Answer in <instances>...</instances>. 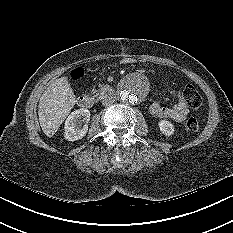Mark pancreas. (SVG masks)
I'll use <instances>...</instances> for the list:
<instances>
[{"mask_svg":"<svg viewBox=\"0 0 233 233\" xmlns=\"http://www.w3.org/2000/svg\"><path fill=\"white\" fill-rule=\"evenodd\" d=\"M110 90L111 88L108 84L101 85L99 89H92V94H94L96 97L102 98Z\"/></svg>","mask_w":233,"mask_h":233,"instance_id":"cf45deb5","label":"pancreas"}]
</instances>
